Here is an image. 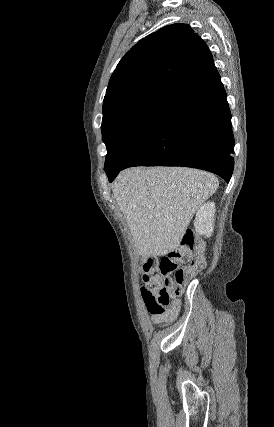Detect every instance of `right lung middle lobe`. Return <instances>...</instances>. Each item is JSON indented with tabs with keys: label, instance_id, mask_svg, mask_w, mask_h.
<instances>
[{
	"label": "right lung middle lobe",
	"instance_id": "right-lung-middle-lobe-1",
	"mask_svg": "<svg viewBox=\"0 0 274 427\" xmlns=\"http://www.w3.org/2000/svg\"><path fill=\"white\" fill-rule=\"evenodd\" d=\"M175 100L168 95L150 94L119 103L103 112L101 131L107 147L104 167L128 160Z\"/></svg>",
	"mask_w": 274,
	"mask_h": 427
}]
</instances>
